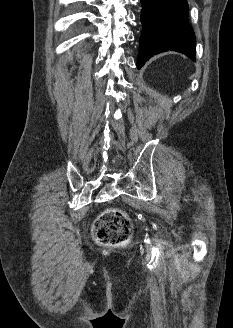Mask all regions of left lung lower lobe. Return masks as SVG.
<instances>
[{
  "label": "left lung lower lobe",
  "mask_w": 233,
  "mask_h": 328,
  "mask_svg": "<svg viewBox=\"0 0 233 328\" xmlns=\"http://www.w3.org/2000/svg\"><path fill=\"white\" fill-rule=\"evenodd\" d=\"M142 34L137 68L158 53L173 50L195 61V35L187 23V0H141Z\"/></svg>",
  "instance_id": "left-lung-lower-lobe-1"
}]
</instances>
